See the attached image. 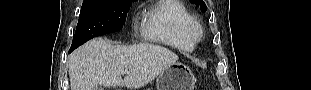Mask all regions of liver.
Instances as JSON below:
<instances>
[{
	"mask_svg": "<svg viewBox=\"0 0 311 90\" xmlns=\"http://www.w3.org/2000/svg\"><path fill=\"white\" fill-rule=\"evenodd\" d=\"M177 60L178 56L163 46L150 43L114 46L102 38L93 39L68 58L70 88L96 90L98 85H103L138 89ZM124 69L129 73L123 79Z\"/></svg>",
	"mask_w": 311,
	"mask_h": 90,
	"instance_id": "6515ba94",
	"label": "liver"
}]
</instances>
